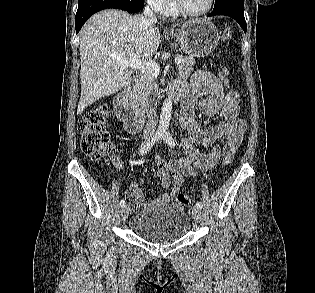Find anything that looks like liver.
<instances>
[{
    "instance_id": "6515ba94",
    "label": "liver",
    "mask_w": 315,
    "mask_h": 293,
    "mask_svg": "<svg viewBox=\"0 0 315 293\" xmlns=\"http://www.w3.org/2000/svg\"><path fill=\"white\" fill-rule=\"evenodd\" d=\"M159 43L156 23L150 24L143 15L113 9L93 15L81 30L78 113L127 85L132 71L121 66L117 57L148 59L157 51Z\"/></svg>"
}]
</instances>
